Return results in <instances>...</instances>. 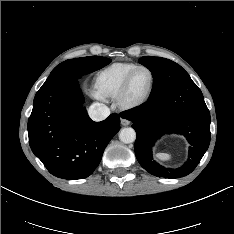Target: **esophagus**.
Masks as SVG:
<instances>
[{"instance_id":"1","label":"esophagus","mask_w":234,"mask_h":234,"mask_svg":"<svg viewBox=\"0 0 234 234\" xmlns=\"http://www.w3.org/2000/svg\"><path fill=\"white\" fill-rule=\"evenodd\" d=\"M121 124L123 126H128L130 124V121L128 119H126V117L124 115H121Z\"/></svg>"}]
</instances>
